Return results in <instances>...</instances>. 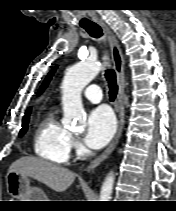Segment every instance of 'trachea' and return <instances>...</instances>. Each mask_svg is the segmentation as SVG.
<instances>
[{"instance_id":"3493384b","label":"trachea","mask_w":176,"mask_h":211,"mask_svg":"<svg viewBox=\"0 0 176 211\" xmlns=\"http://www.w3.org/2000/svg\"><path fill=\"white\" fill-rule=\"evenodd\" d=\"M83 28L88 32V34L90 36H92L94 38H98V37L102 36V34H103L102 29L97 24L84 26ZM105 78H106L108 85H109L110 101H114V99L116 98V95H117V91H118V87L116 85L115 71L111 68L106 69Z\"/></svg>"}]
</instances>
